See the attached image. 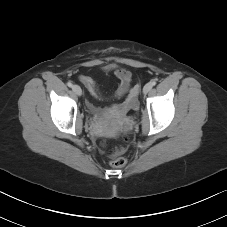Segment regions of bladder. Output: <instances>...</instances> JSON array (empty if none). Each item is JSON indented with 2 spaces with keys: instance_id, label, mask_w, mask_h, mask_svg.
<instances>
[{
  "instance_id": "obj_1",
  "label": "bladder",
  "mask_w": 227,
  "mask_h": 227,
  "mask_svg": "<svg viewBox=\"0 0 227 227\" xmlns=\"http://www.w3.org/2000/svg\"><path fill=\"white\" fill-rule=\"evenodd\" d=\"M90 112L96 115L98 118H102L105 115V112L99 108L91 107Z\"/></svg>"
}]
</instances>
